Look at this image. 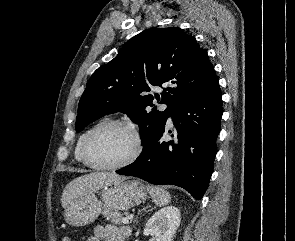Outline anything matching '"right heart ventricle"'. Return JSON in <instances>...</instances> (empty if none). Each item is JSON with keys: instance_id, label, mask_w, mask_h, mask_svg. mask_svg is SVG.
Listing matches in <instances>:
<instances>
[{"instance_id": "right-heart-ventricle-1", "label": "right heart ventricle", "mask_w": 295, "mask_h": 241, "mask_svg": "<svg viewBox=\"0 0 295 241\" xmlns=\"http://www.w3.org/2000/svg\"><path fill=\"white\" fill-rule=\"evenodd\" d=\"M109 119L104 117L102 119H100L99 121H97L95 124H93L92 126H90L89 128H87L78 138L76 145H75V149H74V158L75 160L80 163V164H84L83 160H82V147L84 144L85 139L87 138V136L89 135V133L99 124L108 121Z\"/></svg>"}]
</instances>
